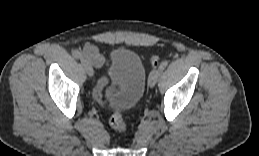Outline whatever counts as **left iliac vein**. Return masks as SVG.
Masks as SVG:
<instances>
[{"label": "left iliac vein", "instance_id": "4c4485c4", "mask_svg": "<svg viewBox=\"0 0 259 156\" xmlns=\"http://www.w3.org/2000/svg\"><path fill=\"white\" fill-rule=\"evenodd\" d=\"M160 75V70L159 68L158 69H155L151 72L150 76H149V80H148V84L151 88H153L156 83H157V80H158V77Z\"/></svg>", "mask_w": 259, "mask_h": 156}]
</instances>
